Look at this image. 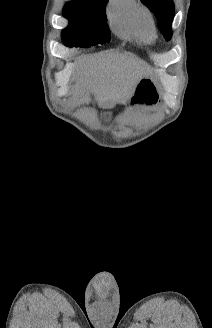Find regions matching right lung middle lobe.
<instances>
[{
  "instance_id": "obj_1",
  "label": "right lung middle lobe",
  "mask_w": 212,
  "mask_h": 328,
  "mask_svg": "<svg viewBox=\"0 0 212 328\" xmlns=\"http://www.w3.org/2000/svg\"><path fill=\"white\" fill-rule=\"evenodd\" d=\"M107 2L73 0L64 6L63 15L69 20V26L62 31V40L66 46L80 44V47H90L110 39L105 13Z\"/></svg>"
}]
</instances>
